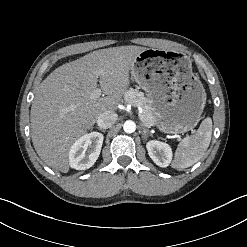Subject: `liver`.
Listing matches in <instances>:
<instances>
[{"label":"liver","instance_id":"1","mask_svg":"<svg viewBox=\"0 0 247 247\" xmlns=\"http://www.w3.org/2000/svg\"><path fill=\"white\" fill-rule=\"evenodd\" d=\"M146 47L120 46L93 51L56 68L37 88L30 113L34 148L44 163L69 171L72 144L105 111L115 112L129 87V71ZM105 96L91 98L98 88Z\"/></svg>","mask_w":247,"mask_h":247}]
</instances>
